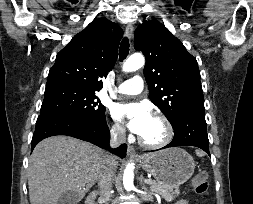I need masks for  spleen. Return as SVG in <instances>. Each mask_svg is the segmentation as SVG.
<instances>
[{"instance_id": "obj_1", "label": "spleen", "mask_w": 253, "mask_h": 204, "mask_svg": "<svg viewBox=\"0 0 253 204\" xmlns=\"http://www.w3.org/2000/svg\"><path fill=\"white\" fill-rule=\"evenodd\" d=\"M196 154H197L198 156H203V155H204V154H203L202 152H200V151H197Z\"/></svg>"}]
</instances>
